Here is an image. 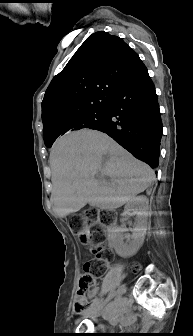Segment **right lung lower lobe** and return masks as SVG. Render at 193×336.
Returning a JSON list of instances; mask_svg holds the SVG:
<instances>
[{
	"label": "right lung lower lobe",
	"instance_id": "98d812e1",
	"mask_svg": "<svg viewBox=\"0 0 193 336\" xmlns=\"http://www.w3.org/2000/svg\"><path fill=\"white\" fill-rule=\"evenodd\" d=\"M108 134L136 158L158 167L162 122L154 84L143 62L113 95L107 106Z\"/></svg>",
	"mask_w": 193,
	"mask_h": 336
}]
</instances>
